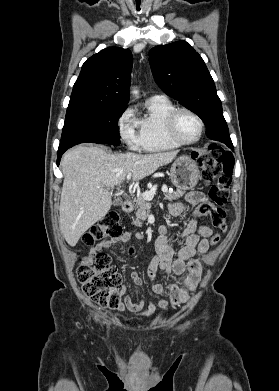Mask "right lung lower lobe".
I'll return each mask as SVG.
<instances>
[{
	"label": "right lung lower lobe",
	"mask_w": 279,
	"mask_h": 391,
	"mask_svg": "<svg viewBox=\"0 0 279 391\" xmlns=\"http://www.w3.org/2000/svg\"><path fill=\"white\" fill-rule=\"evenodd\" d=\"M96 143H109L113 145H118L120 143V140H116L114 138H104L101 140H98ZM68 148H59L58 150V159H57V165L60 163V158L62 154L67 150Z\"/></svg>",
	"instance_id": "obj_1"
}]
</instances>
